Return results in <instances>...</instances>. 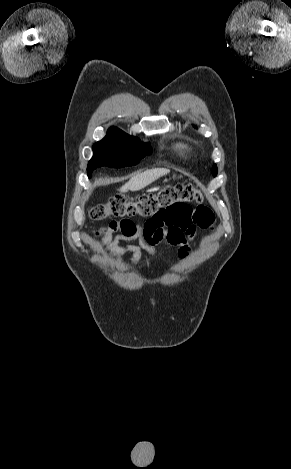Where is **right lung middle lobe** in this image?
<instances>
[{
  "instance_id": "obj_1",
  "label": "right lung middle lobe",
  "mask_w": 291,
  "mask_h": 469,
  "mask_svg": "<svg viewBox=\"0 0 291 469\" xmlns=\"http://www.w3.org/2000/svg\"><path fill=\"white\" fill-rule=\"evenodd\" d=\"M93 157L88 163V177L94 169L101 166L121 168L132 166L146 155L151 154L148 143H143L116 127H111L107 135L93 145Z\"/></svg>"
}]
</instances>
